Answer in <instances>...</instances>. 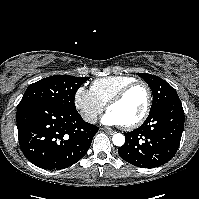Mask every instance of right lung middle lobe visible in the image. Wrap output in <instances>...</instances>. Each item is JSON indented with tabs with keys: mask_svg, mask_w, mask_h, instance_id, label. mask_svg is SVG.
<instances>
[{
	"mask_svg": "<svg viewBox=\"0 0 199 199\" xmlns=\"http://www.w3.org/2000/svg\"><path fill=\"white\" fill-rule=\"evenodd\" d=\"M89 77L54 75L31 84L19 104L40 101L61 108L76 110L74 98L79 87Z\"/></svg>",
	"mask_w": 199,
	"mask_h": 199,
	"instance_id": "obj_1",
	"label": "right lung middle lobe"
}]
</instances>
